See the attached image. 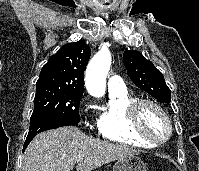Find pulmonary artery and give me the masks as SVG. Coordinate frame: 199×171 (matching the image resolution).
Masks as SVG:
<instances>
[{
	"label": "pulmonary artery",
	"mask_w": 199,
	"mask_h": 171,
	"mask_svg": "<svg viewBox=\"0 0 199 171\" xmlns=\"http://www.w3.org/2000/svg\"><path fill=\"white\" fill-rule=\"evenodd\" d=\"M108 88L109 91L123 90L125 89V85L119 76L113 75L109 79Z\"/></svg>",
	"instance_id": "pulmonary-artery-1"
}]
</instances>
